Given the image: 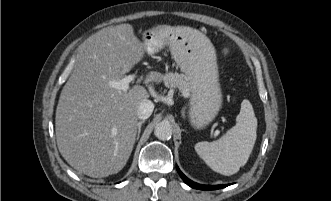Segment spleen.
<instances>
[{
	"label": "spleen",
	"instance_id": "1",
	"mask_svg": "<svg viewBox=\"0 0 331 201\" xmlns=\"http://www.w3.org/2000/svg\"><path fill=\"white\" fill-rule=\"evenodd\" d=\"M236 125L213 142H198L197 154L215 172L225 176L237 173L244 166L256 141L257 119L248 100L241 103Z\"/></svg>",
	"mask_w": 331,
	"mask_h": 201
}]
</instances>
